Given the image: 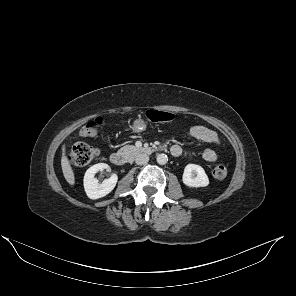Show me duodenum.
I'll return each instance as SVG.
<instances>
[{
  "label": "duodenum",
  "instance_id": "obj_1",
  "mask_svg": "<svg viewBox=\"0 0 296 296\" xmlns=\"http://www.w3.org/2000/svg\"><path fill=\"white\" fill-rule=\"evenodd\" d=\"M155 151L154 148H146L144 152L146 154H151ZM129 158L127 155L121 152H113L110 154V161L112 164L117 165V166H122L125 165L128 162Z\"/></svg>",
  "mask_w": 296,
  "mask_h": 296
}]
</instances>
